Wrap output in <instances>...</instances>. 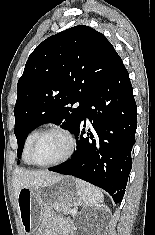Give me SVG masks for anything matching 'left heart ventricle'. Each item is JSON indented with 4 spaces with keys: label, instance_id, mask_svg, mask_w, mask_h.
<instances>
[{
    "label": "left heart ventricle",
    "instance_id": "1",
    "mask_svg": "<svg viewBox=\"0 0 155 235\" xmlns=\"http://www.w3.org/2000/svg\"><path fill=\"white\" fill-rule=\"evenodd\" d=\"M68 150L66 137L58 132L45 134L34 146L32 157L40 164L51 163L62 158Z\"/></svg>",
    "mask_w": 155,
    "mask_h": 235
}]
</instances>
